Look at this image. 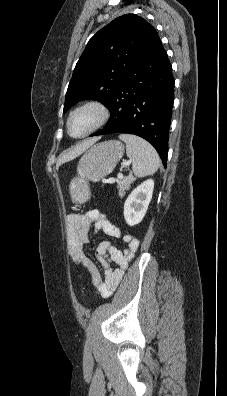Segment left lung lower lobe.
<instances>
[{"instance_id": "0a47b994", "label": "left lung lower lobe", "mask_w": 227, "mask_h": 396, "mask_svg": "<svg viewBox=\"0 0 227 396\" xmlns=\"http://www.w3.org/2000/svg\"><path fill=\"white\" fill-rule=\"evenodd\" d=\"M174 79L161 41L130 70L107 105L106 126L91 136L130 133L147 140L166 167L173 107Z\"/></svg>"}]
</instances>
